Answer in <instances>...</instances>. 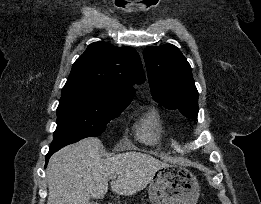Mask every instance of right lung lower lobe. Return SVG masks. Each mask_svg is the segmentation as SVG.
<instances>
[{"mask_svg": "<svg viewBox=\"0 0 261 204\" xmlns=\"http://www.w3.org/2000/svg\"><path fill=\"white\" fill-rule=\"evenodd\" d=\"M58 150H59V149H57V148H50L48 154L46 155V165H47V163H48V161H49L50 156H51L53 153H55L56 151H58ZM46 165H45V167H46Z\"/></svg>", "mask_w": 261, "mask_h": 204, "instance_id": "obj_1", "label": "right lung lower lobe"}]
</instances>
